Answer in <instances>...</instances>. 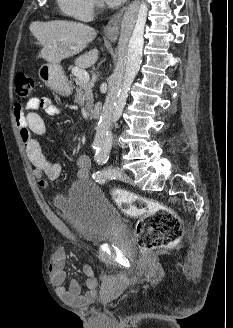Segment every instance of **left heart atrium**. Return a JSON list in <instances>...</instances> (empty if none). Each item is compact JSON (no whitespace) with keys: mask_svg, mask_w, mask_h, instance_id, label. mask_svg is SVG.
Returning a JSON list of instances; mask_svg holds the SVG:
<instances>
[{"mask_svg":"<svg viewBox=\"0 0 233 328\" xmlns=\"http://www.w3.org/2000/svg\"><path fill=\"white\" fill-rule=\"evenodd\" d=\"M124 0H105V2L110 6V7H116L120 5Z\"/></svg>","mask_w":233,"mask_h":328,"instance_id":"left-heart-atrium-1","label":"left heart atrium"}]
</instances>
